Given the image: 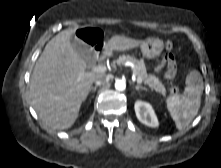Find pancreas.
I'll list each match as a JSON object with an SVG mask.
<instances>
[{
  "label": "pancreas",
  "mask_w": 221,
  "mask_h": 168,
  "mask_svg": "<svg viewBox=\"0 0 221 168\" xmlns=\"http://www.w3.org/2000/svg\"><path fill=\"white\" fill-rule=\"evenodd\" d=\"M126 62H132L134 64L133 73L137 78H141L145 85H147L151 90H154L161 95H166V88L154 74H148L146 71V66L142 60H137L130 55H121L116 60L117 65H124Z\"/></svg>",
  "instance_id": "1"
}]
</instances>
